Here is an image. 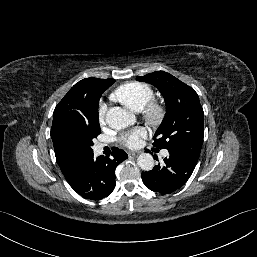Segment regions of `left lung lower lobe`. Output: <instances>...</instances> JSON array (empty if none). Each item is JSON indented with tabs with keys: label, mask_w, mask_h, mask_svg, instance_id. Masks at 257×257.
Returning <instances> with one entry per match:
<instances>
[{
	"label": "left lung lower lobe",
	"mask_w": 257,
	"mask_h": 257,
	"mask_svg": "<svg viewBox=\"0 0 257 257\" xmlns=\"http://www.w3.org/2000/svg\"><path fill=\"white\" fill-rule=\"evenodd\" d=\"M163 164L154 166L151 171L142 173L143 183L152 191L168 194L181 188L191 176L198 157L186 152L171 149Z\"/></svg>",
	"instance_id": "1"
}]
</instances>
